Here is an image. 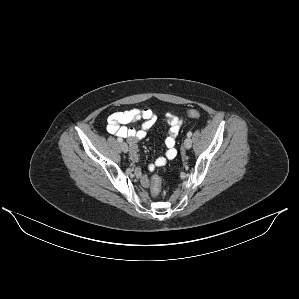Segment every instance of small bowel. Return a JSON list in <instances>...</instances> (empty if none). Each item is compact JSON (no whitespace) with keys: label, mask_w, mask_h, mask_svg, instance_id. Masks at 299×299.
I'll return each instance as SVG.
<instances>
[{"label":"small bowel","mask_w":299,"mask_h":299,"mask_svg":"<svg viewBox=\"0 0 299 299\" xmlns=\"http://www.w3.org/2000/svg\"><path fill=\"white\" fill-rule=\"evenodd\" d=\"M139 119H144V123L141 128L134 129L126 126L127 124ZM164 120L168 125V135L164 140L166 150L163 156L158 157L152 164L149 165L148 168L151 171L164 166L167 161L173 160L177 156V150L175 147L176 136L181 128L182 118L172 114H167ZM156 121L157 115L150 109H132L115 112L111 114L107 120V131L110 134L127 140L130 148V159L133 162H137V143L146 136L147 131L155 124ZM135 174L145 187L149 186V178L140 168L135 170Z\"/></svg>","instance_id":"c3829d8e"}]
</instances>
